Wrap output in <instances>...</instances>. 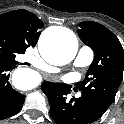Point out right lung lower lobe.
Wrapping results in <instances>:
<instances>
[{"label": "right lung lower lobe", "instance_id": "right-lung-lower-lobe-1", "mask_svg": "<svg viewBox=\"0 0 124 124\" xmlns=\"http://www.w3.org/2000/svg\"><path fill=\"white\" fill-rule=\"evenodd\" d=\"M17 62L0 60V120L18 113L24 103L25 95L14 90L9 82L10 72Z\"/></svg>", "mask_w": 124, "mask_h": 124}]
</instances>
